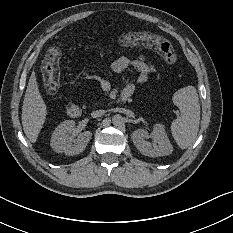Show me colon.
<instances>
[{"label":"colon","mask_w":233,"mask_h":233,"mask_svg":"<svg viewBox=\"0 0 233 233\" xmlns=\"http://www.w3.org/2000/svg\"><path fill=\"white\" fill-rule=\"evenodd\" d=\"M121 42L124 45H149L158 51L164 62L168 65H174L177 61V56L172 44L161 37H154L141 32H134L123 36L121 38ZM60 58L61 51L58 47H51L48 49L42 66L43 85L47 93H54L59 89Z\"/></svg>","instance_id":"colon-1"}]
</instances>
